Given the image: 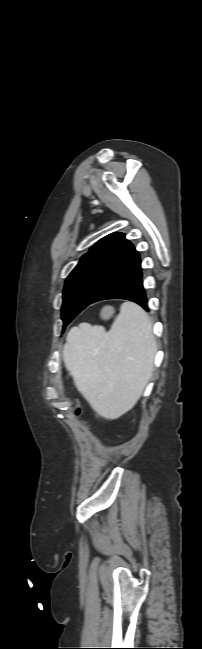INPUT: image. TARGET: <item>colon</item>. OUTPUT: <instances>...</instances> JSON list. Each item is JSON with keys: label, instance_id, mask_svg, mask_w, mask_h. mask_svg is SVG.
I'll list each match as a JSON object with an SVG mask.
<instances>
[{"label": "colon", "instance_id": "5ec220e1", "mask_svg": "<svg viewBox=\"0 0 202 649\" xmlns=\"http://www.w3.org/2000/svg\"><path fill=\"white\" fill-rule=\"evenodd\" d=\"M74 413H75V415H77V416H79V415L81 414V407H80L79 404H77V405L75 406Z\"/></svg>", "mask_w": 202, "mask_h": 649}]
</instances>
